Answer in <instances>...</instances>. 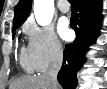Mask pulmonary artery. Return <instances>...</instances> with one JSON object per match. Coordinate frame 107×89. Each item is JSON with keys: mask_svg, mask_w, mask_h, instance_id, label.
<instances>
[{"mask_svg": "<svg viewBox=\"0 0 107 89\" xmlns=\"http://www.w3.org/2000/svg\"><path fill=\"white\" fill-rule=\"evenodd\" d=\"M58 8L61 12H64V13L69 11V5L65 0H60L58 2Z\"/></svg>", "mask_w": 107, "mask_h": 89, "instance_id": "pulmonary-artery-1", "label": "pulmonary artery"}]
</instances>
